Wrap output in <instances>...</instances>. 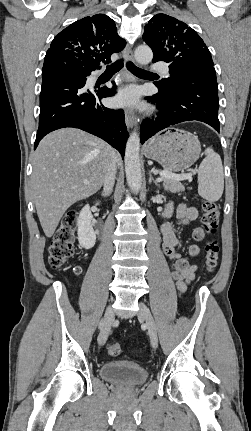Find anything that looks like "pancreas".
Here are the masks:
<instances>
[{"label":"pancreas","mask_w":251,"mask_h":431,"mask_svg":"<svg viewBox=\"0 0 251 431\" xmlns=\"http://www.w3.org/2000/svg\"><path fill=\"white\" fill-rule=\"evenodd\" d=\"M162 181H163L164 189L166 191H170L172 193H177V192H182L185 190V187L183 186V184L178 180L163 177Z\"/></svg>","instance_id":"1"}]
</instances>
